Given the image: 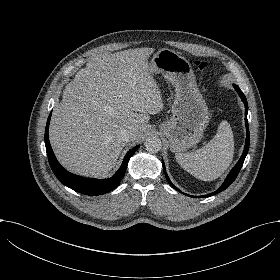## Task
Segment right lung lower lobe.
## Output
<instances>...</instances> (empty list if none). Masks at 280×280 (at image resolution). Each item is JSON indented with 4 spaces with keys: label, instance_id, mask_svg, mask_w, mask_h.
Masks as SVG:
<instances>
[{
    "label": "right lung lower lobe",
    "instance_id": "1",
    "mask_svg": "<svg viewBox=\"0 0 280 280\" xmlns=\"http://www.w3.org/2000/svg\"><path fill=\"white\" fill-rule=\"evenodd\" d=\"M50 117H51V113L48 117L46 129H45V145H46L49 164L55 176L59 179V181L65 186L81 194L90 195V196L105 194L115 189L120 183L123 176L125 175L127 164L130 157L136 152L139 146L134 147L126 154L120 169L111 178L98 180V179L80 177L65 170L55 158V155L53 153L48 138Z\"/></svg>",
    "mask_w": 280,
    "mask_h": 280
}]
</instances>
